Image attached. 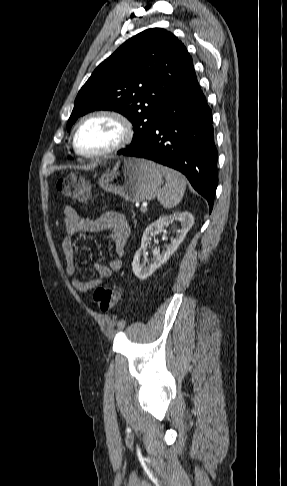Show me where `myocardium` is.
<instances>
[{
  "instance_id": "1",
  "label": "myocardium",
  "mask_w": 287,
  "mask_h": 486,
  "mask_svg": "<svg viewBox=\"0 0 287 486\" xmlns=\"http://www.w3.org/2000/svg\"><path fill=\"white\" fill-rule=\"evenodd\" d=\"M96 118H108L116 122L120 128L119 140L111 147L99 152H84L77 145V134L80 128L87 122ZM134 128L132 122L121 112L111 109H100L83 116L75 125L72 133V147L75 153L88 159L102 158L116 153L125 148L133 139Z\"/></svg>"
}]
</instances>
